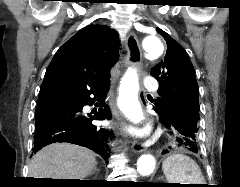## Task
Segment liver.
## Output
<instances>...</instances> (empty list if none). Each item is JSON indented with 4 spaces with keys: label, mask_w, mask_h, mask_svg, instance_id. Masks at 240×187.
<instances>
[{
    "label": "liver",
    "mask_w": 240,
    "mask_h": 187,
    "mask_svg": "<svg viewBox=\"0 0 240 187\" xmlns=\"http://www.w3.org/2000/svg\"><path fill=\"white\" fill-rule=\"evenodd\" d=\"M95 154L87 148L54 143L38 151L29 164V178H86L96 166Z\"/></svg>",
    "instance_id": "1"
}]
</instances>
